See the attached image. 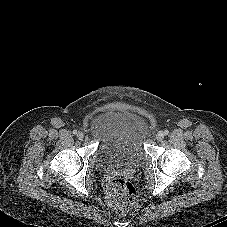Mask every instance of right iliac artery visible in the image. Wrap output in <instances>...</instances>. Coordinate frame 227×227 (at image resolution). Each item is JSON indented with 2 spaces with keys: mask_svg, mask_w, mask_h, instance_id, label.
<instances>
[{
  "mask_svg": "<svg viewBox=\"0 0 227 227\" xmlns=\"http://www.w3.org/2000/svg\"><path fill=\"white\" fill-rule=\"evenodd\" d=\"M73 134H75V135H76V134H77V130H73Z\"/></svg>",
  "mask_w": 227,
  "mask_h": 227,
  "instance_id": "obj_1",
  "label": "right iliac artery"
}]
</instances>
